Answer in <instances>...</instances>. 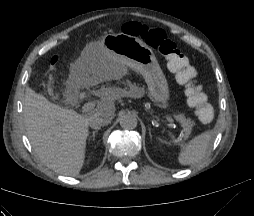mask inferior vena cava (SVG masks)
<instances>
[{
  "mask_svg": "<svg viewBox=\"0 0 254 216\" xmlns=\"http://www.w3.org/2000/svg\"><path fill=\"white\" fill-rule=\"evenodd\" d=\"M88 121V125L93 129H99L110 123L108 119L97 113L90 116Z\"/></svg>",
  "mask_w": 254,
  "mask_h": 216,
  "instance_id": "602c4592",
  "label": "inferior vena cava"
}]
</instances>
